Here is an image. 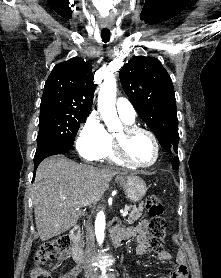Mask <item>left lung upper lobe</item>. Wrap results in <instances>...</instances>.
Here are the masks:
<instances>
[{
	"label": "left lung upper lobe",
	"instance_id": "left-lung-upper-lobe-1",
	"mask_svg": "<svg viewBox=\"0 0 221 278\" xmlns=\"http://www.w3.org/2000/svg\"><path fill=\"white\" fill-rule=\"evenodd\" d=\"M120 80L138 114L170 153H177L179 134L172 80L157 58L137 56L120 70Z\"/></svg>",
	"mask_w": 221,
	"mask_h": 278
}]
</instances>
